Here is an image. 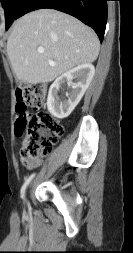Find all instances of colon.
I'll list each match as a JSON object with an SVG mask.
<instances>
[{"instance_id":"colon-1","label":"colon","mask_w":133,"mask_h":253,"mask_svg":"<svg viewBox=\"0 0 133 253\" xmlns=\"http://www.w3.org/2000/svg\"><path fill=\"white\" fill-rule=\"evenodd\" d=\"M15 132L23 137L20 157L23 163L32 164L48 155L63 132L62 125L46 112L31 114L43 105V94L39 87L27 86L16 93Z\"/></svg>"}]
</instances>
